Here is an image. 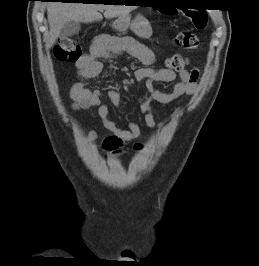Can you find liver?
Here are the masks:
<instances>
[{
    "mask_svg": "<svg viewBox=\"0 0 259 266\" xmlns=\"http://www.w3.org/2000/svg\"><path fill=\"white\" fill-rule=\"evenodd\" d=\"M134 6L124 5H103V4H83V3H62L51 2L47 5V16L50 25L46 47L50 48L58 39L61 29L68 22L92 23L103 18L126 16Z\"/></svg>",
    "mask_w": 259,
    "mask_h": 266,
    "instance_id": "6515ba94",
    "label": "liver"
}]
</instances>
